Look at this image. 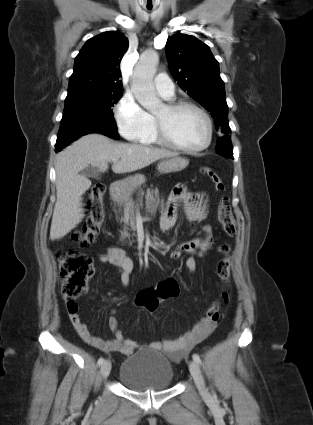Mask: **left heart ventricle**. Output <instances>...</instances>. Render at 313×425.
Wrapping results in <instances>:
<instances>
[{
	"instance_id": "obj_1",
	"label": "left heart ventricle",
	"mask_w": 313,
	"mask_h": 425,
	"mask_svg": "<svg viewBox=\"0 0 313 425\" xmlns=\"http://www.w3.org/2000/svg\"><path fill=\"white\" fill-rule=\"evenodd\" d=\"M170 135L187 148L201 146L207 138V124L203 116L195 110L186 109L171 115L165 107L156 113Z\"/></svg>"
}]
</instances>
